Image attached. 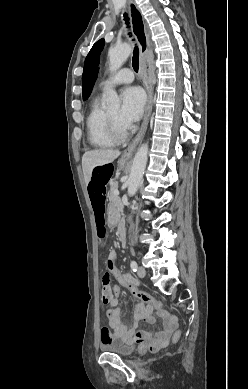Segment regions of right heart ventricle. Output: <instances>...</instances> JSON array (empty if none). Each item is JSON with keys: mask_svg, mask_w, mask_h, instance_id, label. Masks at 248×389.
Listing matches in <instances>:
<instances>
[{"mask_svg": "<svg viewBox=\"0 0 248 389\" xmlns=\"http://www.w3.org/2000/svg\"><path fill=\"white\" fill-rule=\"evenodd\" d=\"M106 114L101 107L100 98L96 97L90 105L86 118L88 141L94 147L109 148L116 143L108 133Z\"/></svg>", "mask_w": 248, "mask_h": 389, "instance_id": "obj_1", "label": "right heart ventricle"}]
</instances>
